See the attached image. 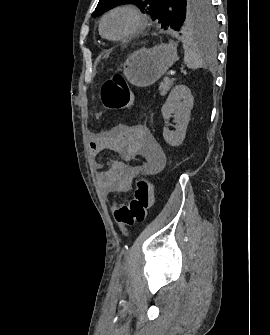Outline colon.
<instances>
[{"label":"colon","instance_id":"colon-1","mask_svg":"<svg viewBox=\"0 0 270 335\" xmlns=\"http://www.w3.org/2000/svg\"><path fill=\"white\" fill-rule=\"evenodd\" d=\"M101 95L103 103L116 110L128 108L133 99L126 79L120 74L104 83ZM151 204V183L146 178H140L130 201L115 205L114 218L121 227H133L146 220Z\"/></svg>","mask_w":270,"mask_h":335}]
</instances>
